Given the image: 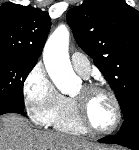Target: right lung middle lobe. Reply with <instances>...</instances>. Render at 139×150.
Segmentation results:
<instances>
[{"label": "right lung middle lobe", "mask_w": 139, "mask_h": 150, "mask_svg": "<svg viewBox=\"0 0 139 150\" xmlns=\"http://www.w3.org/2000/svg\"><path fill=\"white\" fill-rule=\"evenodd\" d=\"M37 62L0 55V102L24 108L23 84Z\"/></svg>", "instance_id": "dd1d6c3e"}]
</instances>
